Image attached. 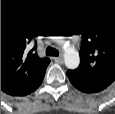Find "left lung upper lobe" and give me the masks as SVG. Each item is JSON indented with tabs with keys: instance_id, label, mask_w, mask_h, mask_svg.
Returning a JSON list of instances; mask_svg holds the SVG:
<instances>
[{
	"instance_id": "left-lung-upper-lobe-1",
	"label": "left lung upper lobe",
	"mask_w": 115,
	"mask_h": 114,
	"mask_svg": "<svg viewBox=\"0 0 115 114\" xmlns=\"http://www.w3.org/2000/svg\"><path fill=\"white\" fill-rule=\"evenodd\" d=\"M82 35L80 66L67 75L109 86L115 80V17L86 24Z\"/></svg>"
}]
</instances>
